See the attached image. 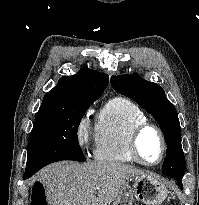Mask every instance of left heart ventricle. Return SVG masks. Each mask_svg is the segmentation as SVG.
I'll list each match as a JSON object with an SVG mask.
<instances>
[{
    "label": "left heart ventricle",
    "instance_id": "left-heart-ventricle-1",
    "mask_svg": "<svg viewBox=\"0 0 199 205\" xmlns=\"http://www.w3.org/2000/svg\"><path fill=\"white\" fill-rule=\"evenodd\" d=\"M139 150L148 162H156L161 156V142L154 130L145 131L139 139Z\"/></svg>",
    "mask_w": 199,
    "mask_h": 205
}]
</instances>
